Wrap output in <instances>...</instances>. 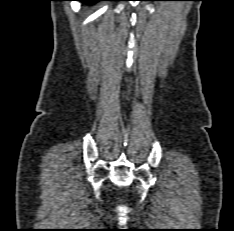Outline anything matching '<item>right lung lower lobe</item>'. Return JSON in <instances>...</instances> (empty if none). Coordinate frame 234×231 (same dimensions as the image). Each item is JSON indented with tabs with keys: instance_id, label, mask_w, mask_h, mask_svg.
<instances>
[{
	"instance_id": "right-lung-lower-lobe-1",
	"label": "right lung lower lobe",
	"mask_w": 234,
	"mask_h": 231,
	"mask_svg": "<svg viewBox=\"0 0 234 231\" xmlns=\"http://www.w3.org/2000/svg\"><path fill=\"white\" fill-rule=\"evenodd\" d=\"M78 1H82V2H85V3H95L97 1H103V0H78Z\"/></svg>"
}]
</instances>
